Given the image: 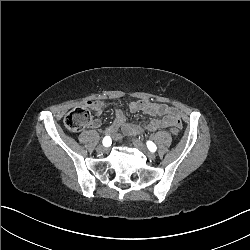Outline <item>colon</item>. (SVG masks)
Returning <instances> with one entry per match:
<instances>
[{"mask_svg": "<svg viewBox=\"0 0 250 250\" xmlns=\"http://www.w3.org/2000/svg\"><path fill=\"white\" fill-rule=\"evenodd\" d=\"M90 121V111L82 106L72 108L67 112L63 119L65 128L74 133L83 130L90 123ZM170 132L173 137L179 136V131L175 127L172 128Z\"/></svg>", "mask_w": 250, "mask_h": 250, "instance_id": "obj_1", "label": "colon"}]
</instances>
